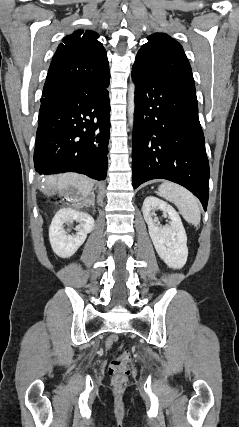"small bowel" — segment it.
Listing matches in <instances>:
<instances>
[{"label":"small bowel","instance_id":"obj_1","mask_svg":"<svg viewBox=\"0 0 239 427\" xmlns=\"http://www.w3.org/2000/svg\"><path fill=\"white\" fill-rule=\"evenodd\" d=\"M113 341H114V337H110L107 341V345L108 346L111 345Z\"/></svg>","mask_w":239,"mask_h":427}]
</instances>
